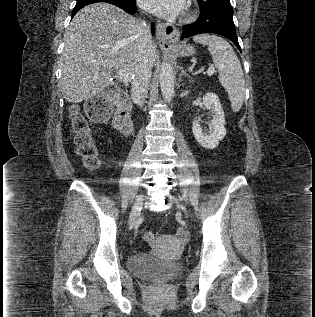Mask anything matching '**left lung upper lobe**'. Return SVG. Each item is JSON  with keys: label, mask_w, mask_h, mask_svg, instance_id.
Wrapping results in <instances>:
<instances>
[{"label": "left lung upper lobe", "mask_w": 315, "mask_h": 317, "mask_svg": "<svg viewBox=\"0 0 315 317\" xmlns=\"http://www.w3.org/2000/svg\"><path fill=\"white\" fill-rule=\"evenodd\" d=\"M200 10L204 13L217 14H233L230 0H197Z\"/></svg>", "instance_id": "obj_1"}]
</instances>
